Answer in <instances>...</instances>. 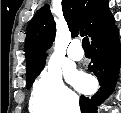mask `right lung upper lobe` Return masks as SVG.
Here are the masks:
<instances>
[{
  "label": "right lung upper lobe",
  "mask_w": 121,
  "mask_h": 113,
  "mask_svg": "<svg viewBox=\"0 0 121 113\" xmlns=\"http://www.w3.org/2000/svg\"><path fill=\"white\" fill-rule=\"evenodd\" d=\"M64 18L72 37L84 34L94 39L114 25L108 0H62ZM55 22L49 5L41 7L30 21L25 40L26 72L45 61V51L55 38Z\"/></svg>",
  "instance_id": "obj_1"
}]
</instances>
